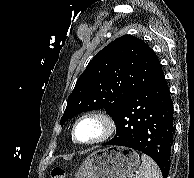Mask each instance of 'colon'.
<instances>
[{"label": "colon", "instance_id": "5ec220e1", "mask_svg": "<svg viewBox=\"0 0 194 178\" xmlns=\"http://www.w3.org/2000/svg\"><path fill=\"white\" fill-rule=\"evenodd\" d=\"M51 178H65V173L63 168L54 167L51 171Z\"/></svg>", "mask_w": 194, "mask_h": 178}]
</instances>
